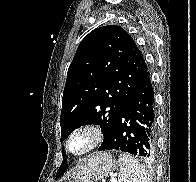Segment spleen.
<instances>
[{
  "instance_id": "1",
  "label": "spleen",
  "mask_w": 196,
  "mask_h": 182,
  "mask_svg": "<svg viewBox=\"0 0 196 182\" xmlns=\"http://www.w3.org/2000/svg\"><path fill=\"white\" fill-rule=\"evenodd\" d=\"M119 163L118 182H152L145 167L133 156L122 153L119 156Z\"/></svg>"
}]
</instances>
